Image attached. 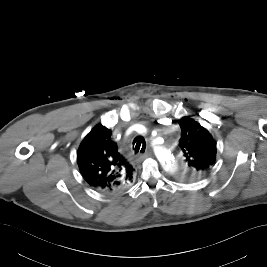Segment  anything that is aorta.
Returning <instances> with one entry per match:
<instances>
[{
	"label": "aorta",
	"mask_w": 267,
	"mask_h": 267,
	"mask_svg": "<svg viewBox=\"0 0 267 267\" xmlns=\"http://www.w3.org/2000/svg\"><path fill=\"white\" fill-rule=\"evenodd\" d=\"M159 157L168 172L175 173L177 171V160L171 151L164 150L162 153L159 154Z\"/></svg>",
	"instance_id": "aorta-1"
}]
</instances>
